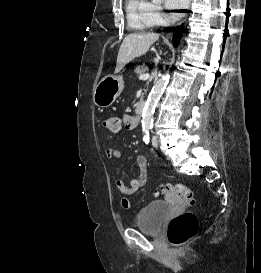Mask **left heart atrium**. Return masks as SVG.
I'll return each instance as SVG.
<instances>
[{
	"label": "left heart atrium",
	"instance_id": "left-heart-atrium-1",
	"mask_svg": "<svg viewBox=\"0 0 261 273\" xmlns=\"http://www.w3.org/2000/svg\"><path fill=\"white\" fill-rule=\"evenodd\" d=\"M190 0H165V5L168 9L173 10V17H179L183 9H185Z\"/></svg>",
	"mask_w": 261,
	"mask_h": 273
}]
</instances>
